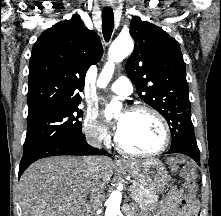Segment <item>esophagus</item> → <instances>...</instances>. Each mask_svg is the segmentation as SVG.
<instances>
[{"mask_svg": "<svg viewBox=\"0 0 221 216\" xmlns=\"http://www.w3.org/2000/svg\"><path fill=\"white\" fill-rule=\"evenodd\" d=\"M114 162L118 166L126 165V162L123 159L119 158V157H115Z\"/></svg>", "mask_w": 221, "mask_h": 216, "instance_id": "1", "label": "esophagus"}]
</instances>
